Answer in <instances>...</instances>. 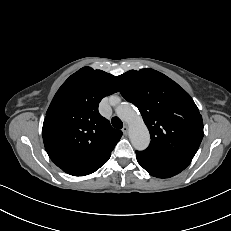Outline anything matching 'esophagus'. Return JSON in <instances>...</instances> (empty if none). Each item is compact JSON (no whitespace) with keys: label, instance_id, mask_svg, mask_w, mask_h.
Segmentation results:
<instances>
[{"label":"esophagus","instance_id":"esophagus-1","mask_svg":"<svg viewBox=\"0 0 231 231\" xmlns=\"http://www.w3.org/2000/svg\"><path fill=\"white\" fill-rule=\"evenodd\" d=\"M122 132L124 135H127L128 134V126L125 125L123 128H122Z\"/></svg>","mask_w":231,"mask_h":231}]
</instances>
